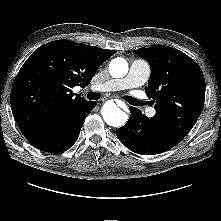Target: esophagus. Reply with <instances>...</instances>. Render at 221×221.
<instances>
[{"mask_svg": "<svg viewBox=\"0 0 221 221\" xmlns=\"http://www.w3.org/2000/svg\"><path fill=\"white\" fill-rule=\"evenodd\" d=\"M107 99L108 98L104 96V97L101 98V101H106ZM118 104H120L121 106H125V104L122 101H119Z\"/></svg>", "mask_w": 221, "mask_h": 221, "instance_id": "1", "label": "esophagus"}]
</instances>
